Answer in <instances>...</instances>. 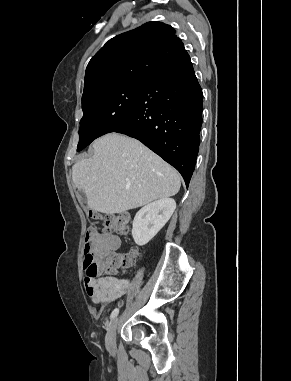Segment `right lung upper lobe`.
<instances>
[{
	"label": "right lung upper lobe",
	"mask_w": 291,
	"mask_h": 381,
	"mask_svg": "<svg viewBox=\"0 0 291 381\" xmlns=\"http://www.w3.org/2000/svg\"><path fill=\"white\" fill-rule=\"evenodd\" d=\"M185 51L172 26L152 21L110 39L90 60L82 101L119 84L145 82Z\"/></svg>",
	"instance_id": "1"
}]
</instances>
